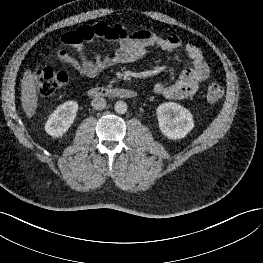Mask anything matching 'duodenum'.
Here are the masks:
<instances>
[{"label":"duodenum","mask_w":263,"mask_h":263,"mask_svg":"<svg viewBox=\"0 0 263 263\" xmlns=\"http://www.w3.org/2000/svg\"><path fill=\"white\" fill-rule=\"evenodd\" d=\"M88 95L92 98L109 97L132 99L137 96V93L127 88L92 87L89 89Z\"/></svg>","instance_id":"410a0bca"}]
</instances>
